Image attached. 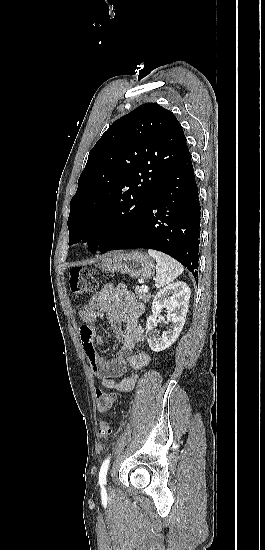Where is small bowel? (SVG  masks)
I'll return each mask as SVG.
<instances>
[{"mask_svg":"<svg viewBox=\"0 0 265 550\" xmlns=\"http://www.w3.org/2000/svg\"><path fill=\"white\" fill-rule=\"evenodd\" d=\"M142 313L143 305L123 285L105 286L80 311V318L84 322L80 331L83 350L93 374L107 389L131 391L138 380V372L151 361L147 352H133L136 346L145 342L144 329L139 323ZM103 315L111 325L115 337L121 342V347L111 359H104L96 350V345L104 344V338L97 334L95 328L96 322ZM128 366L135 373L116 381V378L126 373Z\"/></svg>","mask_w":265,"mask_h":550,"instance_id":"obj_1","label":"small bowel"}]
</instances>
